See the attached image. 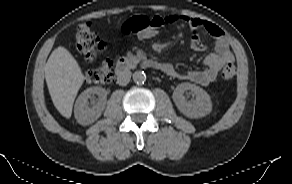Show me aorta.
<instances>
[{
	"label": "aorta",
	"mask_w": 292,
	"mask_h": 184,
	"mask_svg": "<svg viewBox=\"0 0 292 184\" xmlns=\"http://www.w3.org/2000/svg\"><path fill=\"white\" fill-rule=\"evenodd\" d=\"M133 81L137 84H143L146 81V74L143 71H135Z\"/></svg>",
	"instance_id": "aorta-1"
}]
</instances>
